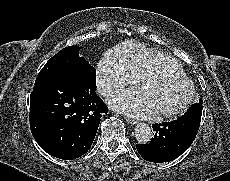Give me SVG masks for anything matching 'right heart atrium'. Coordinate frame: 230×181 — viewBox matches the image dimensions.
<instances>
[{"label":"right heart atrium","mask_w":230,"mask_h":181,"mask_svg":"<svg viewBox=\"0 0 230 181\" xmlns=\"http://www.w3.org/2000/svg\"><path fill=\"white\" fill-rule=\"evenodd\" d=\"M96 82L102 94L110 95L136 82V79L126 69L109 62L106 55L97 65Z\"/></svg>","instance_id":"right-heart-atrium-1"}]
</instances>
